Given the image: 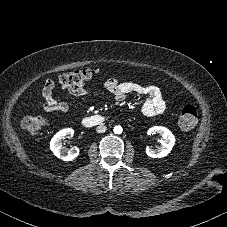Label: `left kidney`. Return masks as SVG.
Masks as SVG:
<instances>
[{"mask_svg": "<svg viewBox=\"0 0 227 227\" xmlns=\"http://www.w3.org/2000/svg\"><path fill=\"white\" fill-rule=\"evenodd\" d=\"M155 133L160 134L162 136L163 138L161 142L162 145L158 149H152L147 147L146 154L152 158L165 157L170 153L173 146L175 145V141H176L175 136L169 129L162 126H154L149 128V130L147 131L148 135H153Z\"/></svg>", "mask_w": 227, "mask_h": 227, "instance_id": "left-kidney-1", "label": "left kidney"}]
</instances>
